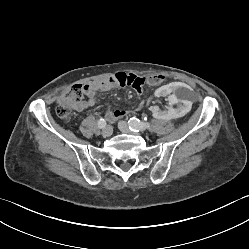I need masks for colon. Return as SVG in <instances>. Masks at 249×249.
Masks as SVG:
<instances>
[{"instance_id": "5ec220e1", "label": "colon", "mask_w": 249, "mask_h": 249, "mask_svg": "<svg viewBox=\"0 0 249 249\" xmlns=\"http://www.w3.org/2000/svg\"><path fill=\"white\" fill-rule=\"evenodd\" d=\"M166 80L165 74L157 76H146L145 78L133 76L130 77L127 85L136 89L137 95H144L145 89H142L146 84H156ZM85 95V86L75 84L71 86L59 99L56 107V114L64 121H70L73 118L72 110L82 102Z\"/></svg>"}]
</instances>
